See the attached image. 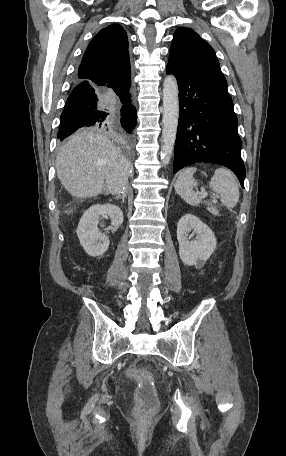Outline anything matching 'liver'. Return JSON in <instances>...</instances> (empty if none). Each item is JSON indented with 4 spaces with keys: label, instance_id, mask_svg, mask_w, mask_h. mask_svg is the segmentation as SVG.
<instances>
[{
    "label": "liver",
    "instance_id": "6515ba94",
    "mask_svg": "<svg viewBox=\"0 0 286 456\" xmlns=\"http://www.w3.org/2000/svg\"><path fill=\"white\" fill-rule=\"evenodd\" d=\"M56 171L72 196L90 198L105 188L111 194L121 193L128 183L129 163L109 139L85 131L60 149Z\"/></svg>",
    "mask_w": 286,
    "mask_h": 456
}]
</instances>
